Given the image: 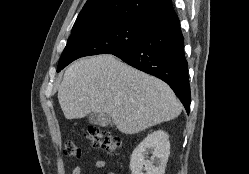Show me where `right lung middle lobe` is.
Listing matches in <instances>:
<instances>
[{"instance_id": "dd1d6c3e", "label": "right lung middle lobe", "mask_w": 249, "mask_h": 174, "mask_svg": "<svg viewBox=\"0 0 249 174\" xmlns=\"http://www.w3.org/2000/svg\"><path fill=\"white\" fill-rule=\"evenodd\" d=\"M146 24L140 21H121L71 32L57 72L80 57L125 50L141 38Z\"/></svg>"}]
</instances>
